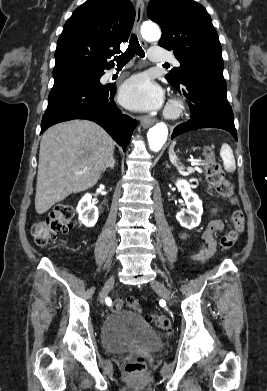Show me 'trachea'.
Instances as JSON below:
<instances>
[{
  "label": "trachea",
  "mask_w": 267,
  "mask_h": 391,
  "mask_svg": "<svg viewBox=\"0 0 267 391\" xmlns=\"http://www.w3.org/2000/svg\"><path fill=\"white\" fill-rule=\"evenodd\" d=\"M135 54L140 57L145 56V52L140 46L137 36L135 34H132L127 50L120 56H115L114 60L117 62L118 65H125L133 58ZM164 65L169 64L165 63Z\"/></svg>",
  "instance_id": "trachea-1"
}]
</instances>
